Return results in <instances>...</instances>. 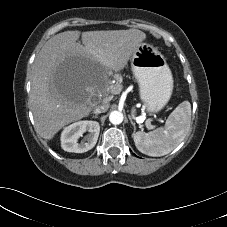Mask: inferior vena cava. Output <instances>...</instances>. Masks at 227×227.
<instances>
[{
	"instance_id": "obj_1",
	"label": "inferior vena cava",
	"mask_w": 227,
	"mask_h": 227,
	"mask_svg": "<svg viewBox=\"0 0 227 227\" xmlns=\"http://www.w3.org/2000/svg\"><path fill=\"white\" fill-rule=\"evenodd\" d=\"M108 108H109V104L107 103L106 100H104L101 105H97L95 107L94 113L100 114V113L106 112L108 110Z\"/></svg>"
}]
</instances>
